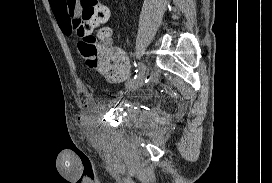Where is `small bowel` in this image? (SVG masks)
Returning <instances> with one entry per match:
<instances>
[{"mask_svg":"<svg viewBox=\"0 0 272 183\" xmlns=\"http://www.w3.org/2000/svg\"><path fill=\"white\" fill-rule=\"evenodd\" d=\"M67 0H49L50 7L55 16V19L61 29L66 35L70 36L72 31L68 26V13H67ZM75 12H78V8H75ZM104 35L101 38L102 44L111 52H113L117 59L114 64L108 68L98 69L106 79L112 82H119L124 80L130 72V64L125 52L117 47L113 46V39L110 29L103 30ZM88 116V111H83L78 119L83 120Z\"/></svg>","mask_w":272,"mask_h":183,"instance_id":"1","label":"small bowel"}]
</instances>
